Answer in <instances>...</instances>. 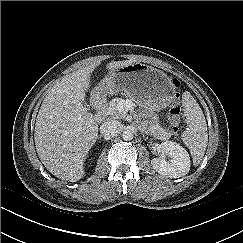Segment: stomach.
<instances>
[{
	"instance_id": "1",
	"label": "stomach",
	"mask_w": 243,
	"mask_h": 243,
	"mask_svg": "<svg viewBox=\"0 0 243 243\" xmlns=\"http://www.w3.org/2000/svg\"><path fill=\"white\" fill-rule=\"evenodd\" d=\"M95 92L100 95L122 93L139 105L160 111L173 100L175 87L163 71L133 62L109 71Z\"/></svg>"
}]
</instances>
